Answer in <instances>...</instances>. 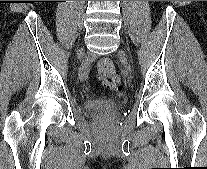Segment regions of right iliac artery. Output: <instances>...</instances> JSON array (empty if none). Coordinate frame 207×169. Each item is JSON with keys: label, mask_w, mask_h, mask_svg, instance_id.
I'll return each instance as SVG.
<instances>
[{"label": "right iliac artery", "mask_w": 207, "mask_h": 169, "mask_svg": "<svg viewBox=\"0 0 207 169\" xmlns=\"http://www.w3.org/2000/svg\"><path fill=\"white\" fill-rule=\"evenodd\" d=\"M84 67H85V69H84ZM84 70H86V65L84 64V66L82 67V71H84Z\"/></svg>", "instance_id": "right-iliac-artery-1"}]
</instances>
